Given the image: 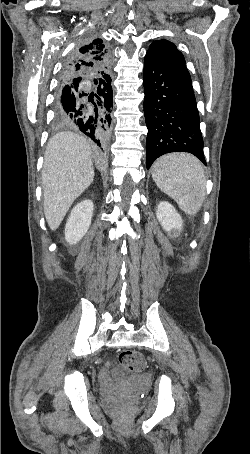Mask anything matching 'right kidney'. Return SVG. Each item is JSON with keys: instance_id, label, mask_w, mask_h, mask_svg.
<instances>
[{"instance_id": "obj_1", "label": "right kidney", "mask_w": 250, "mask_h": 454, "mask_svg": "<svg viewBox=\"0 0 250 454\" xmlns=\"http://www.w3.org/2000/svg\"><path fill=\"white\" fill-rule=\"evenodd\" d=\"M94 205L91 200H83L71 211L65 226V240L76 244L87 233L93 216Z\"/></svg>"}]
</instances>
